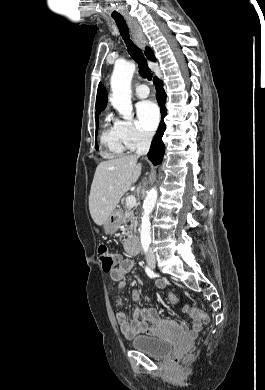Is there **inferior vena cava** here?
Masks as SVG:
<instances>
[{
  "label": "inferior vena cava",
  "mask_w": 265,
  "mask_h": 390,
  "mask_svg": "<svg viewBox=\"0 0 265 390\" xmlns=\"http://www.w3.org/2000/svg\"><path fill=\"white\" fill-rule=\"evenodd\" d=\"M151 141H152V134L146 132L141 133L139 142L137 143V150H136L137 156L145 155L148 153ZM153 254H154L153 250L149 248L148 255L150 256Z\"/></svg>",
  "instance_id": "602c4592"
}]
</instances>
